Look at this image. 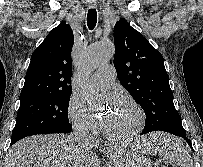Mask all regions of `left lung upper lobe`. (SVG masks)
I'll list each match as a JSON object with an SVG mask.
<instances>
[{"mask_svg":"<svg viewBox=\"0 0 203 167\" xmlns=\"http://www.w3.org/2000/svg\"><path fill=\"white\" fill-rule=\"evenodd\" d=\"M114 66L123 87L146 115L143 132L186 134L173 103L163 56L125 19L114 27Z\"/></svg>","mask_w":203,"mask_h":167,"instance_id":"1","label":"left lung upper lobe"}]
</instances>
